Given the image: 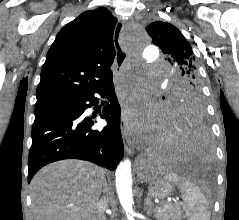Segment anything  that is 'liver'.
Returning a JSON list of instances; mask_svg holds the SVG:
<instances>
[{
    "label": "liver",
    "instance_id": "6515ba94",
    "mask_svg": "<svg viewBox=\"0 0 239 220\" xmlns=\"http://www.w3.org/2000/svg\"><path fill=\"white\" fill-rule=\"evenodd\" d=\"M105 174L80 160L45 166L31 182L34 220H94Z\"/></svg>",
    "mask_w": 239,
    "mask_h": 220
}]
</instances>
